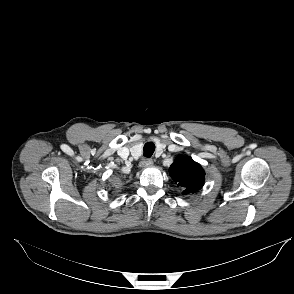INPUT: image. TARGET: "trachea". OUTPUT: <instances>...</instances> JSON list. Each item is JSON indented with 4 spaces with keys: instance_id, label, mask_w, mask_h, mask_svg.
<instances>
[{
    "instance_id": "obj_1",
    "label": "trachea",
    "mask_w": 294,
    "mask_h": 294,
    "mask_svg": "<svg viewBox=\"0 0 294 294\" xmlns=\"http://www.w3.org/2000/svg\"><path fill=\"white\" fill-rule=\"evenodd\" d=\"M155 151V145L152 142H148L144 145V156L149 158Z\"/></svg>"
}]
</instances>
